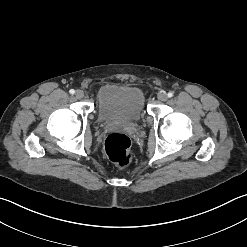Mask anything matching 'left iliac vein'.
I'll return each instance as SVG.
<instances>
[{
    "label": "left iliac vein",
    "instance_id": "obj_1",
    "mask_svg": "<svg viewBox=\"0 0 247 247\" xmlns=\"http://www.w3.org/2000/svg\"><path fill=\"white\" fill-rule=\"evenodd\" d=\"M158 98H159L160 101L164 102V101H166L168 99V96H167V94L162 93V94L159 95Z\"/></svg>",
    "mask_w": 247,
    "mask_h": 247
}]
</instances>
